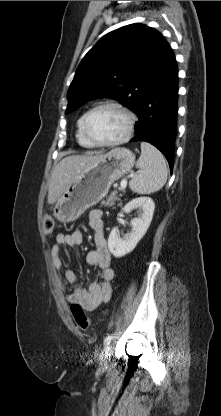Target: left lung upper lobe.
I'll list each match as a JSON object with an SVG mask.
<instances>
[{"label":"left lung upper lobe","instance_id":"1","mask_svg":"<svg viewBox=\"0 0 221 416\" xmlns=\"http://www.w3.org/2000/svg\"><path fill=\"white\" fill-rule=\"evenodd\" d=\"M166 44L158 31L142 24L127 25L106 34L77 68L65 113L101 97L114 98L137 113Z\"/></svg>","mask_w":221,"mask_h":416}]
</instances>
